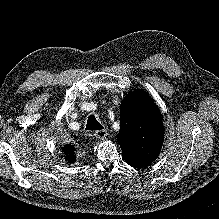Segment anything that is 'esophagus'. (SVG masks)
I'll return each mask as SVG.
<instances>
[{
  "label": "esophagus",
  "mask_w": 219,
  "mask_h": 219,
  "mask_svg": "<svg viewBox=\"0 0 219 219\" xmlns=\"http://www.w3.org/2000/svg\"><path fill=\"white\" fill-rule=\"evenodd\" d=\"M107 130L103 129V130H98L95 132V137L102 140L107 136Z\"/></svg>",
  "instance_id": "esophagus-1"
}]
</instances>
